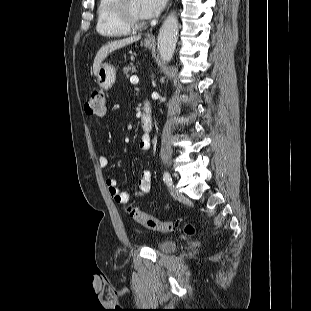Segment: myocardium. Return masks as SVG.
<instances>
[{
    "mask_svg": "<svg viewBox=\"0 0 311 311\" xmlns=\"http://www.w3.org/2000/svg\"><path fill=\"white\" fill-rule=\"evenodd\" d=\"M115 11L121 21V23L131 30H139L146 26V21H139L132 17L129 7L128 0H115Z\"/></svg>",
    "mask_w": 311,
    "mask_h": 311,
    "instance_id": "obj_1",
    "label": "myocardium"
}]
</instances>
